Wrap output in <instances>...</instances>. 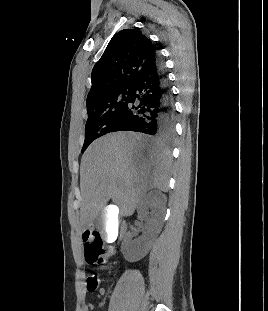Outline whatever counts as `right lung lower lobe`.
Returning <instances> with one entry per match:
<instances>
[{
    "label": "right lung lower lobe",
    "instance_id": "1",
    "mask_svg": "<svg viewBox=\"0 0 268 311\" xmlns=\"http://www.w3.org/2000/svg\"><path fill=\"white\" fill-rule=\"evenodd\" d=\"M172 94L160 57L133 85L129 104L110 132L135 131L171 140L175 131Z\"/></svg>",
    "mask_w": 268,
    "mask_h": 311
}]
</instances>
